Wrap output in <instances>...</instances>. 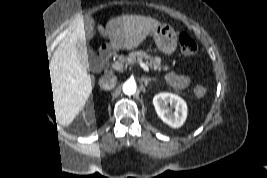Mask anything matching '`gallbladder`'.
Here are the masks:
<instances>
[{
  "mask_svg": "<svg viewBox=\"0 0 267 178\" xmlns=\"http://www.w3.org/2000/svg\"><path fill=\"white\" fill-rule=\"evenodd\" d=\"M80 55L81 57H83L85 60H88L89 58H91L90 53L87 52V50L81 49L80 50Z\"/></svg>",
  "mask_w": 267,
  "mask_h": 178,
  "instance_id": "gallbladder-1",
  "label": "gallbladder"
}]
</instances>
